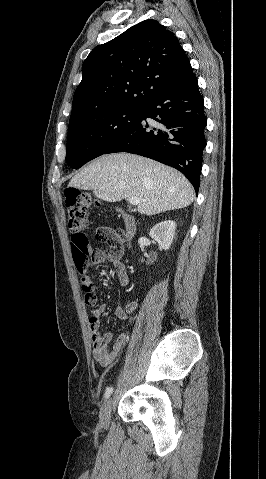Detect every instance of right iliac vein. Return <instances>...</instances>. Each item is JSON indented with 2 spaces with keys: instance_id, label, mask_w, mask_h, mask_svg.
<instances>
[{
  "instance_id": "63e3f726",
  "label": "right iliac vein",
  "mask_w": 266,
  "mask_h": 479,
  "mask_svg": "<svg viewBox=\"0 0 266 479\" xmlns=\"http://www.w3.org/2000/svg\"><path fill=\"white\" fill-rule=\"evenodd\" d=\"M111 408L112 398H109L108 400H106L100 410V426L102 428H108L110 424Z\"/></svg>"
}]
</instances>
